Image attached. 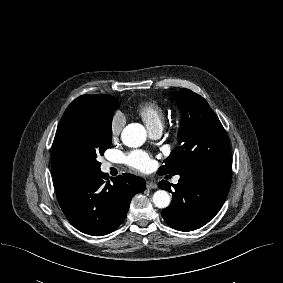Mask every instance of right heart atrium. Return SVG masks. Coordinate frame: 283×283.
<instances>
[{
  "label": "right heart atrium",
  "instance_id": "d8ad5b80",
  "mask_svg": "<svg viewBox=\"0 0 283 283\" xmlns=\"http://www.w3.org/2000/svg\"><path fill=\"white\" fill-rule=\"evenodd\" d=\"M126 124V118L121 112H116L110 122V132L113 138L118 137Z\"/></svg>",
  "mask_w": 283,
  "mask_h": 283
}]
</instances>
